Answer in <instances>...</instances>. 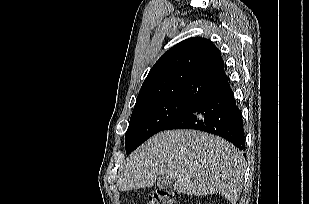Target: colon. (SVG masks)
I'll use <instances>...</instances> for the list:
<instances>
[{"label":"colon","instance_id":"1","mask_svg":"<svg viewBox=\"0 0 309 204\" xmlns=\"http://www.w3.org/2000/svg\"><path fill=\"white\" fill-rule=\"evenodd\" d=\"M177 201V193L166 189H159L149 195L147 204H176Z\"/></svg>","mask_w":309,"mask_h":204}]
</instances>
